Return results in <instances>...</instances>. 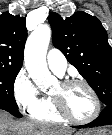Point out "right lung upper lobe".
<instances>
[{
	"mask_svg": "<svg viewBox=\"0 0 112 135\" xmlns=\"http://www.w3.org/2000/svg\"><path fill=\"white\" fill-rule=\"evenodd\" d=\"M27 38L25 18L8 12L0 15V68H21Z\"/></svg>",
	"mask_w": 112,
	"mask_h": 135,
	"instance_id": "cb5924a9",
	"label": "right lung upper lobe"
}]
</instances>
